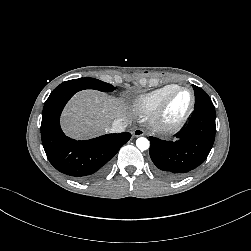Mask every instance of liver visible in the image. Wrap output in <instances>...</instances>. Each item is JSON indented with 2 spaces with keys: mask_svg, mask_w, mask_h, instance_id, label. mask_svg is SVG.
Instances as JSON below:
<instances>
[{
  "mask_svg": "<svg viewBox=\"0 0 251 251\" xmlns=\"http://www.w3.org/2000/svg\"><path fill=\"white\" fill-rule=\"evenodd\" d=\"M129 118L130 113L123 101L98 91L85 90L69 102L62 124L67 134L81 139L108 132L115 120L128 121Z\"/></svg>",
  "mask_w": 251,
  "mask_h": 251,
  "instance_id": "liver-1",
  "label": "liver"
}]
</instances>
